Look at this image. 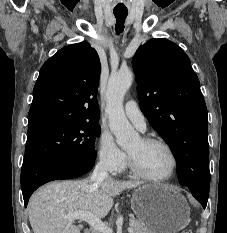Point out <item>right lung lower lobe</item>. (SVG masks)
Instances as JSON below:
<instances>
[{
    "label": "right lung lower lobe",
    "instance_id": "obj_1",
    "mask_svg": "<svg viewBox=\"0 0 227 233\" xmlns=\"http://www.w3.org/2000/svg\"><path fill=\"white\" fill-rule=\"evenodd\" d=\"M94 160L83 162L73 159H51L38 162L21 172V188L25 207L31 194L41 185L58 179H71L89 172Z\"/></svg>",
    "mask_w": 227,
    "mask_h": 233
}]
</instances>
